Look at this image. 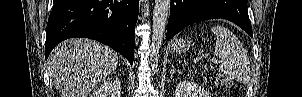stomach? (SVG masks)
I'll return each instance as SVG.
<instances>
[{
  "instance_id": "obj_1",
  "label": "stomach",
  "mask_w": 302,
  "mask_h": 97,
  "mask_svg": "<svg viewBox=\"0 0 302 97\" xmlns=\"http://www.w3.org/2000/svg\"><path fill=\"white\" fill-rule=\"evenodd\" d=\"M190 46H191L190 41H186L183 39H176L172 43V51L182 54V53H185L186 51H188L190 49Z\"/></svg>"
}]
</instances>
